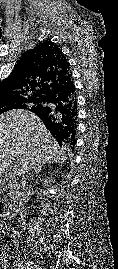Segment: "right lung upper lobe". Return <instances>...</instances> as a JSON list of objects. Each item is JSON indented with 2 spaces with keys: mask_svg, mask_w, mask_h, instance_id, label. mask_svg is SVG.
<instances>
[{
  "mask_svg": "<svg viewBox=\"0 0 118 269\" xmlns=\"http://www.w3.org/2000/svg\"><path fill=\"white\" fill-rule=\"evenodd\" d=\"M69 66L66 57L53 42L45 41L27 50L11 74L0 83V103L32 99L34 105L27 109L35 113L56 137V120L52 113H46L42 108L72 84ZM69 103L67 97L64 105ZM67 108L68 105L62 110Z\"/></svg>",
  "mask_w": 118,
  "mask_h": 269,
  "instance_id": "1",
  "label": "right lung upper lobe"
}]
</instances>
